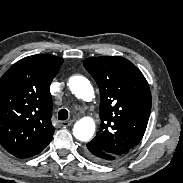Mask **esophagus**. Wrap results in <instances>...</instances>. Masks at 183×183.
<instances>
[{
	"label": "esophagus",
	"instance_id": "1",
	"mask_svg": "<svg viewBox=\"0 0 183 183\" xmlns=\"http://www.w3.org/2000/svg\"><path fill=\"white\" fill-rule=\"evenodd\" d=\"M74 120H67V121H61L60 122V125L63 126V127H69L73 124Z\"/></svg>",
	"mask_w": 183,
	"mask_h": 183
}]
</instances>
